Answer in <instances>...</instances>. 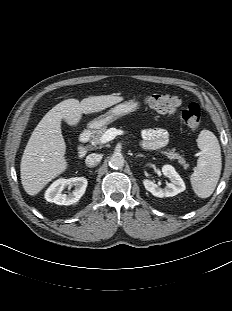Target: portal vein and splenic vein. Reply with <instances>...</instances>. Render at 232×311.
Masks as SVG:
<instances>
[{
	"label": "portal vein and splenic vein",
	"instance_id": "obj_1",
	"mask_svg": "<svg viewBox=\"0 0 232 311\" xmlns=\"http://www.w3.org/2000/svg\"><path fill=\"white\" fill-rule=\"evenodd\" d=\"M123 131L116 129V128H110L108 129L100 138V142L101 144H105L111 140H113L117 135H122Z\"/></svg>",
	"mask_w": 232,
	"mask_h": 311
}]
</instances>
